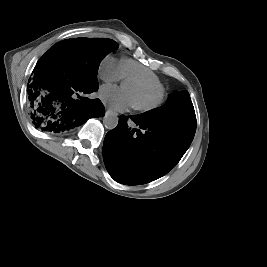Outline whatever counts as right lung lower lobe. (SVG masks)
Segmentation results:
<instances>
[{
  "label": "right lung lower lobe",
  "instance_id": "1",
  "mask_svg": "<svg viewBox=\"0 0 267 267\" xmlns=\"http://www.w3.org/2000/svg\"><path fill=\"white\" fill-rule=\"evenodd\" d=\"M97 89L98 85L78 83L57 64L39 60L28 90L29 114L34 126L51 133L67 132L92 117L103 116L105 110L99 99L80 97Z\"/></svg>",
  "mask_w": 267,
  "mask_h": 267
}]
</instances>
